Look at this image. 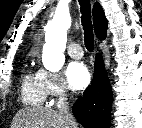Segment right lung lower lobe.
Returning a JSON list of instances; mask_svg holds the SVG:
<instances>
[{
  "label": "right lung lower lobe",
  "instance_id": "right-lung-lower-lobe-1",
  "mask_svg": "<svg viewBox=\"0 0 142 128\" xmlns=\"http://www.w3.org/2000/svg\"><path fill=\"white\" fill-rule=\"evenodd\" d=\"M112 101V90L102 56L97 54L92 85L77 99L72 111L85 128H110Z\"/></svg>",
  "mask_w": 142,
  "mask_h": 128
}]
</instances>
